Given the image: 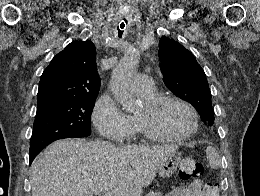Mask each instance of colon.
<instances>
[{
  "label": "colon",
  "mask_w": 260,
  "mask_h": 196,
  "mask_svg": "<svg viewBox=\"0 0 260 196\" xmlns=\"http://www.w3.org/2000/svg\"><path fill=\"white\" fill-rule=\"evenodd\" d=\"M179 177L183 182L200 183L204 178V168L193 159H184L179 163Z\"/></svg>",
  "instance_id": "1"
}]
</instances>
